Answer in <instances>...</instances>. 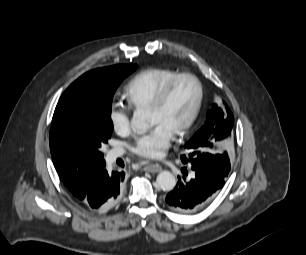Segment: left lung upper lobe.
<instances>
[{
  "label": "left lung upper lobe",
  "instance_id": "1",
  "mask_svg": "<svg viewBox=\"0 0 306 255\" xmlns=\"http://www.w3.org/2000/svg\"><path fill=\"white\" fill-rule=\"evenodd\" d=\"M228 113L227 118H224V112L216 104H213L212 109L207 114L205 125L189 140L186 145V153L188 156H181V161L193 163H203L223 176L227 177L230 171V161L227 153L214 154L210 153L209 149L213 144L227 138L233 127V115L226 106Z\"/></svg>",
  "mask_w": 306,
  "mask_h": 255
}]
</instances>
